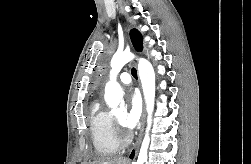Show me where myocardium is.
I'll use <instances>...</instances> for the list:
<instances>
[{
  "label": "myocardium",
  "mask_w": 251,
  "mask_h": 164,
  "mask_svg": "<svg viewBox=\"0 0 251 164\" xmlns=\"http://www.w3.org/2000/svg\"><path fill=\"white\" fill-rule=\"evenodd\" d=\"M117 122H118V120H117ZM119 141L122 143V142H125V139H124L123 137H121V138L119 139Z\"/></svg>",
  "instance_id": "obj_1"
}]
</instances>
